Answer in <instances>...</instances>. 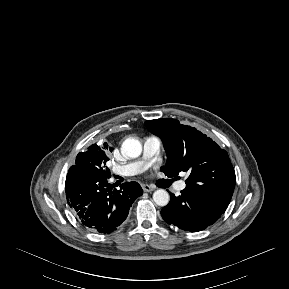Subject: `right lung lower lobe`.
I'll return each mask as SVG.
<instances>
[{
    "label": "right lung lower lobe",
    "mask_w": 289,
    "mask_h": 289,
    "mask_svg": "<svg viewBox=\"0 0 289 289\" xmlns=\"http://www.w3.org/2000/svg\"><path fill=\"white\" fill-rule=\"evenodd\" d=\"M66 198L80 222L90 230L110 233L127 218L135 199L143 194L137 182H126L112 190L100 179L80 168L71 167L65 182Z\"/></svg>",
    "instance_id": "obj_1"
}]
</instances>
